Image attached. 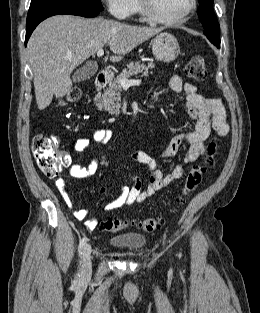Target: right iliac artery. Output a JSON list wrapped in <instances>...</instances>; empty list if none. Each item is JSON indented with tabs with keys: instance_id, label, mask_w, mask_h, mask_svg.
Listing matches in <instances>:
<instances>
[{
	"instance_id": "obj_1",
	"label": "right iliac artery",
	"mask_w": 260,
	"mask_h": 313,
	"mask_svg": "<svg viewBox=\"0 0 260 313\" xmlns=\"http://www.w3.org/2000/svg\"><path fill=\"white\" fill-rule=\"evenodd\" d=\"M87 241V238L86 237H83L81 240H80V243H79V246H78V252H79V255L82 254V250L84 248V245ZM79 276V273L77 274V277Z\"/></svg>"
}]
</instances>
